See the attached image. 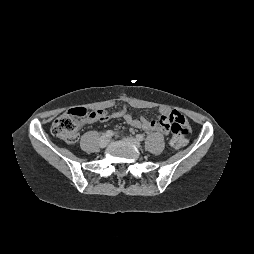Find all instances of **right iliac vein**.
Segmentation results:
<instances>
[{
  "mask_svg": "<svg viewBox=\"0 0 254 254\" xmlns=\"http://www.w3.org/2000/svg\"><path fill=\"white\" fill-rule=\"evenodd\" d=\"M110 142V139L106 136H103L101 139H100V146L101 147H106L108 145V143Z\"/></svg>",
  "mask_w": 254,
  "mask_h": 254,
  "instance_id": "right-iliac-vein-1",
  "label": "right iliac vein"
}]
</instances>
